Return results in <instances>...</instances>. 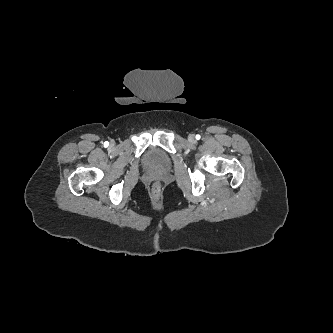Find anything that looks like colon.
<instances>
[{
  "mask_svg": "<svg viewBox=\"0 0 333 333\" xmlns=\"http://www.w3.org/2000/svg\"><path fill=\"white\" fill-rule=\"evenodd\" d=\"M152 187L154 191L159 192L161 190V184L159 182H155Z\"/></svg>",
  "mask_w": 333,
  "mask_h": 333,
  "instance_id": "colon-1",
  "label": "colon"
}]
</instances>
